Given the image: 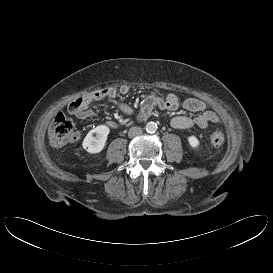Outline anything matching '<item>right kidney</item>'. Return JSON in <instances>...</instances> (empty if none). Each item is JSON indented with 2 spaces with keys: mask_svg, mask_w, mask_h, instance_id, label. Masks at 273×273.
<instances>
[{
  "mask_svg": "<svg viewBox=\"0 0 273 273\" xmlns=\"http://www.w3.org/2000/svg\"><path fill=\"white\" fill-rule=\"evenodd\" d=\"M109 127L106 125H99L92 129L84 138L82 146L90 154L100 153L107 141Z\"/></svg>",
  "mask_w": 273,
  "mask_h": 273,
  "instance_id": "obj_1",
  "label": "right kidney"
}]
</instances>
